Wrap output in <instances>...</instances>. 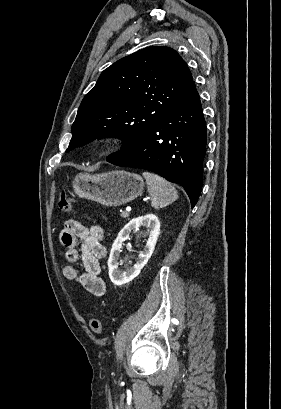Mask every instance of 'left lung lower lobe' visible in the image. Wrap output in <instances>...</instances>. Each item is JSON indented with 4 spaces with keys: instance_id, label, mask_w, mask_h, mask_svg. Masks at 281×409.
Returning a JSON list of instances; mask_svg holds the SVG:
<instances>
[{
    "instance_id": "1",
    "label": "left lung lower lobe",
    "mask_w": 281,
    "mask_h": 409,
    "mask_svg": "<svg viewBox=\"0 0 281 409\" xmlns=\"http://www.w3.org/2000/svg\"><path fill=\"white\" fill-rule=\"evenodd\" d=\"M206 144V122L194 86L136 144L108 162L149 170L180 184L193 208L202 189Z\"/></svg>"
}]
</instances>
